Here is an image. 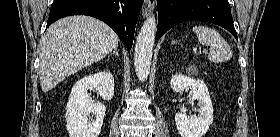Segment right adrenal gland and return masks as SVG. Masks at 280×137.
<instances>
[{
	"mask_svg": "<svg viewBox=\"0 0 280 137\" xmlns=\"http://www.w3.org/2000/svg\"><path fill=\"white\" fill-rule=\"evenodd\" d=\"M111 54H115L116 56H119V53H118V51H117V48H115V49L112 51Z\"/></svg>",
	"mask_w": 280,
	"mask_h": 137,
	"instance_id": "2a0ac1e0",
	"label": "right adrenal gland"
}]
</instances>
